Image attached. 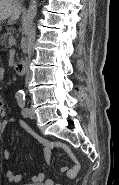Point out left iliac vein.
<instances>
[{
    "label": "left iliac vein",
    "mask_w": 119,
    "mask_h": 185,
    "mask_svg": "<svg viewBox=\"0 0 119 185\" xmlns=\"http://www.w3.org/2000/svg\"><path fill=\"white\" fill-rule=\"evenodd\" d=\"M27 117H29V118H31V119L35 118V112H34V110H33L32 107H30V108L28 109V115H27Z\"/></svg>",
    "instance_id": "4c4485c4"
}]
</instances>
